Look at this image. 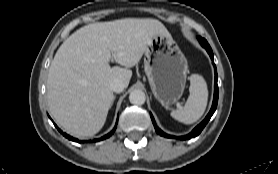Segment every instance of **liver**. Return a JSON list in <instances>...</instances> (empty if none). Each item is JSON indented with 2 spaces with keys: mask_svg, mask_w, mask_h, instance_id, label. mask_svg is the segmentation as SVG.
I'll return each mask as SVG.
<instances>
[{
  "mask_svg": "<svg viewBox=\"0 0 278 174\" xmlns=\"http://www.w3.org/2000/svg\"><path fill=\"white\" fill-rule=\"evenodd\" d=\"M170 35L151 18H125L88 24L59 47L47 79V102L56 122L76 137L98 133L105 124L114 95L110 82L125 88L153 36ZM124 66L111 67L110 60Z\"/></svg>",
  "mask_w": 278,
  "mask_h": 174,
  "instance_id": "liver-1",
  "label": "liver"
}]
</instances>
